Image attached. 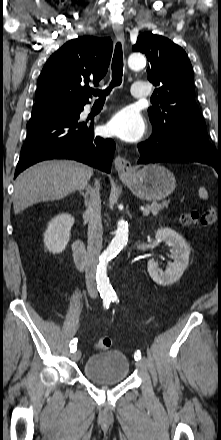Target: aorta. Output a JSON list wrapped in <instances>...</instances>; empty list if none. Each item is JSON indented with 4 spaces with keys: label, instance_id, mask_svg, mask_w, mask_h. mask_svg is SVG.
Instances as JSON below:
<instances>
[{
    "label": "aorta",
    "instance_id": "aorta-1",
    "mask_svg": "<svg viewBox=\"0 0 221 440\" xmlns=\"http://www.w3.org/2000/svg\"><path fill=\"white\" fill-rule=\"evenodd\" d=\"M128 65L133 70L142 69L146 65L145 57L140 53H133L128 58ZM128 241V226L124 220L118 221L115 236L108 248L101 255L97 267V283L99 289L104 292H111L112 286L107 277V265L112 257L118 253Z\"/></svg>",
    "mask_w": 221,
    "mask_h": 440
}]
</instances>
